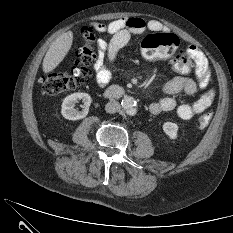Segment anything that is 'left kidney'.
<instances>
[{
	"label": "left kidney",
	"mask_w": 233,
	"mask_h": 233,
	"mask_svg": "<svg viewBox=\"0 0 233 233\" xmlns=\"http://www.w3.org/2000/svg\"><path fill=\"white\" fill-rule=\"evenodd\" d=\"M163 131L170 139H176L178 137V125L173 122H165L163 124Z\"/></svg>",
	"instance_id": "5707ae66"
}]
</instances>
